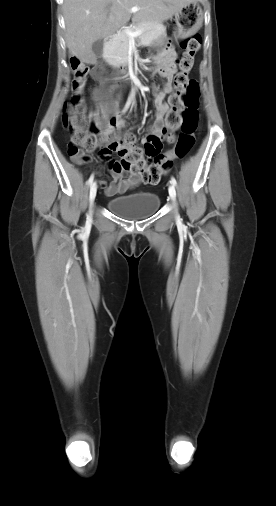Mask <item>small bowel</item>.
<instances>
[{"instance_id":"small-bowel-1","label":"small bowel","mask_w":276,"mask_h":506,"mask_svg":"<svg viewBox=\"0 0 276 506\" xmlns=\"http://www.w3.org/2000/svg\"><path fill=\"white\" fill-rule=\"evenodd\" d=\"M176 58L177 54L175 50L172 48L170 44L166 45L164 49H162L158 55L151 61L154 65L152 72L154 74H159L165 79L163 86L160 90L157 91L155 97V107H156V117L154 123L148 128L147 133L145 134L142 142L145 143L146 138L148 136H156L158 138L164 137L167 131V125L165 122V116L169 111L170 107L168 104L164 103V95L172 93V79L173 75L176 72ZM92 77L96 80L100 79L97 71L92 72ZM72 88L75 91H79L83 88V86H78L75 82L73 83ZM92 99L95 101L102 100L106 98V95L102 88L96 87L92 90ZM97 116H101L104 120H107L108 113L105 108H102L100 113ZM114 125L118 127H122L124 125L123 121H115ZM112 128L107 129L110 131ZM154 155L150 156L153 157ZM106 160V170L109 176L112 178V182L110 185L107 184L106 180L100 179L99 186L104 189L106 195L114 196L116 194L124 193L128 190L133 189L139 184V177L137 174H133L123 169L120 160L113 159L108 157Z\"/></svg>"}]
</instances>
